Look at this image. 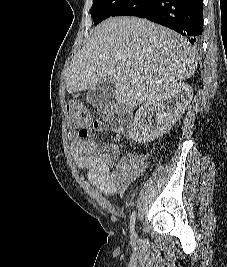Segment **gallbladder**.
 Here are the masks:
<instances>
[{"label":"gallbladder","mask_w":227,"mask_h":267,"mask_svg":"<svg viewBox=\"0 0 227 267\" xmlns=\"http://www.w3.org/2000/svg\"><path fill=\"white\" fill-rule=\"evenodd\" d=\"M115 82H104L95 86L87 91L86 101L87 103L100 107L106 104L114 95Z\"/></svg>","instance_id":"gallbladder-1"}]
</instances>
